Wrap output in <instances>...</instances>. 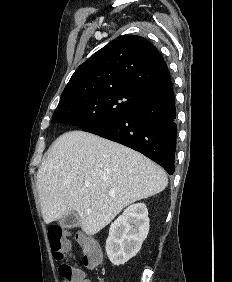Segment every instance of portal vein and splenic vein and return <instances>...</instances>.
Wrapping results in <instances>:
<instances>
[{
    "instance_id": "1",
    "label": "portal vein and splenic vein",
    "mask_w": 232,
    "mask_h": 282,
    "mask_svg": "<svg viewBox=\"0 0 232 282\" xmlns=\"http://www.w3.org/2000/svg\"><path fill=\"white\" fill-rule=\"evenodd\" d=\"M86 185V187H89L90 185L89 184H85Z\"/></svg>"
}]
</instances>
